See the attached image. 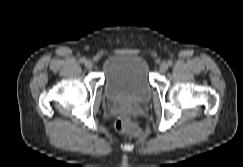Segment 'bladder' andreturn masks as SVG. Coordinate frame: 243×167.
<instances>
[{
	"mask_svg": "<svg viewBox=\"0 0 243 167\" xmlns=\"http://www.w3.org/2000/svg\"><path fill=\"white\" fill-rule=\"evenodd\" d=\"M107 100L116 105H135L151 97L146 61L133 54H115L103 64Z\"/></svg>",
	"mask_w": 243,
	"mask_h": 167,
	"instance_id": "31cf9c89",
	"label": "bladder"
}]
</instances>
